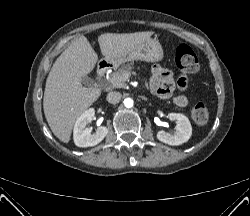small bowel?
Returning a JSON list of instances; mask_svg holds the SVG:
<instances>
[{
	"instance_id": "1",
	"label": "small bowel",
	"mask_w": 250,
	"mask_h": 216,
	"mask_svg": "<svg viewBox=\"0 0 250 216\" xmlns=\"http://www.w3.org/2000/svg\"><path fill=\"white\" fill-rule=\"evenodd\" d=\"M177 85L182 90L186 89V79L184 77H180L177 81ZM175 86L176 83L170 71L160 66H155L153 68L150 87L160 98L165 99L171 97ZM174 103L179 107H185L188 105V99L184 95H180L174 98Z\"/></svg>"
}]
</instances>
